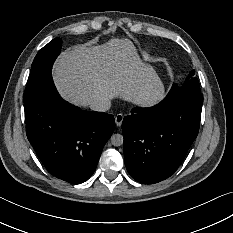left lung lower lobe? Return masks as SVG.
Returning a JSON list of instances; mask_svg holds the SVG:
<instances>
[{
    "mask_svg": "<svg viewBox=\"0 0 233 233\" xmlns=\"http://www.w3.org/2000/svg\"><path fill=\"white\" fill-rule=\"evenodd\" d=\"M202 103L201 93L171 89L159 104L124 117V161L136 181L153 184L175 173L198 135Z\"/></svg>",
    "mask_w": 233,
    "mask_h": 233,
    "instance_id": "0a47b994",
    "label": "left lung lower lobe"
}]
</instances>
